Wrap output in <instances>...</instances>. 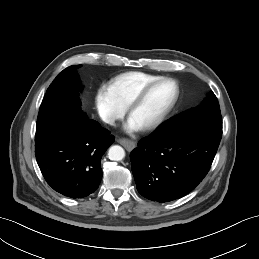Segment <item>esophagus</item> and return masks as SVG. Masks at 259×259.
<instances>
[{
    "mask_svg": "<svg viewBox=\"0 0 259 259\" xmlns=\"http://www.w3.org/2000/svg\"><path fill=\"white\" fill-rule=\"evenodd\" d=\"M117 142L124 146L128 151H132L136 146L135 142L126 138H119L117 139Z\"/></svg>",
    "mask_w": 259,
    "mask_h": 259,
    "instance_id": "esophagus-1",
    "label": "esophagus"
}]
</instances>
